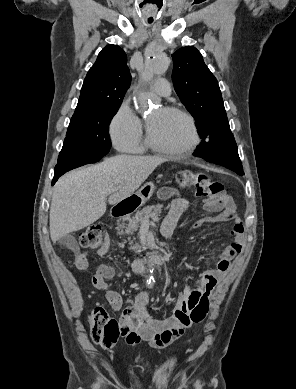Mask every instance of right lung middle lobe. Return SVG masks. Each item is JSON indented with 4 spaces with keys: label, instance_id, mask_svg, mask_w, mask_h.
Returning a JSON list of instances; mask_svg holds the SVG:
<instances>
[{
    "label": "right lung middle lobe",
    "instance_id": "obj_1",
    "mask_svg": "<svg viewBox=\"0 0 296 389\" xmlns=\"http://www.w3.org/2000/svg\"><path fill=\"white\" fill-rule=\"evenodd\" d=\"M119 106L91 111L71 120L55 170L98 162L110 150L109 124Z\"/></svg>",
    "mask_w": 296,
    "mask_h": 389
}]
</instances>
